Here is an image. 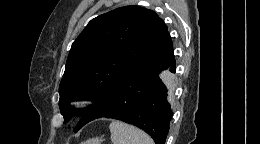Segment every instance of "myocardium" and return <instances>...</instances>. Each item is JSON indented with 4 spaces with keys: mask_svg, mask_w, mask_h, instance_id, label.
<instances>
[{
    "mask_svg": "<svg viewBox=\"0 0 260 144\" xmlns=\"http://www.w3.org/2000/svg\"><path fill=\"white\" fill-rule=\"evenodd\" d=\"M73 107L76 109H80L81 107H83V103L81 102H74L73 103Z\"/></svg>",
    "mask_w": 260,
    "mask_h": 144,
    "instance_id": "obj_1",
    "label": "myocardium"
}]
</instances>
